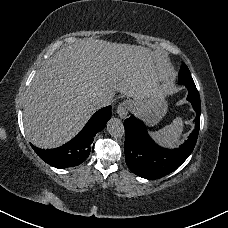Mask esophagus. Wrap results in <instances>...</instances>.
Instances as JSON below:
<instances>
[{
  "instance_id": "esophagus-1",
  "label": "esophagus",
  "mask_w": 228,
  "mask_h": 228,
  "mask_svg": "<svg viewBox=\"0 0 228 228\" xmlns=\"http://www.w3.org/2000/svg\"><path fill=\"white\" fill-rule=\"evenodd\" d=\"M129 108H130V102L124 101L118 105L116 113L120 118L125 119L129 114Z\"/></svg>"
}]
</instances>
